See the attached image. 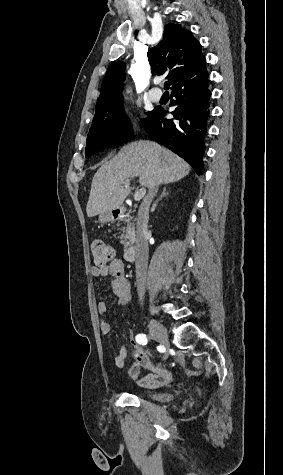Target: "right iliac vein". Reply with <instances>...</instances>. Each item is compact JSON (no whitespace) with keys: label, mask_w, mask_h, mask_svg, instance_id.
Returning <instances> with one entry per match:
<instances>
[{"label":"right iliac vein","mask_w":283,"mask_h":475,"mask_svg":"<svg viewBox=\"0 0 283 475\" xmlns=\"http://www.w3.org/2000/svg\"><path fill=\"white\" fill-rule=\"evenodd\" d=\"M149 331H150L151 336L155 340H157L158 342H161V343L165 344L167 347H169L168 334H167V330L164 327V325H162L156 319H150L149 320ZM166 358H167V354L164 356V359H166Z\"/></svg>","instance_id":"right-iliac-vein-1"}]
</instances>
